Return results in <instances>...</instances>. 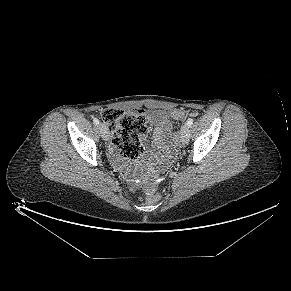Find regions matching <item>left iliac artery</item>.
Here are the masks:
<instances>
[{"mask_svg": "<svg viewBox=\"0 0 291 291\" xmlns=\"http://www.w3.org/2000/svg\"><path fill=\"white\" fill-rule=\"evenodd\" d=\"M187 126L188 127H191V125L193 124V119L192 118H189L188 120H187Z\"/></svg>", "mask_w": 291, "mask_h": 291, "instance_id": "left-iliac-artery-1", "label": "left iliac artery"}]
</instances>
